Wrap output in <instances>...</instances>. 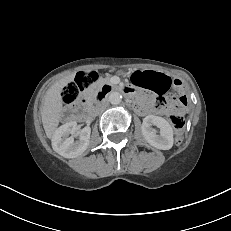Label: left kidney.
Wrapping results in <instances>:
<instances>
[{
  "label": "left kidney",
  "instance_id": "1",
  "mask_svg": "<svg viewBox=\"0 0 231 231\" xmlns=\"http://www.w3.org/2000/svg\"><path fill=\"white\" fill-rule=\"evenodd\" d=\"M160 129L156 134L152 126ZM142 134L145 140L153 147L162 150H169L173 146V128L170 123L162 117L148 115L143 119L141 126Z\"/></svg>",
  "mask_w": 231,
  "mask_h": 231
}]
</instances>
